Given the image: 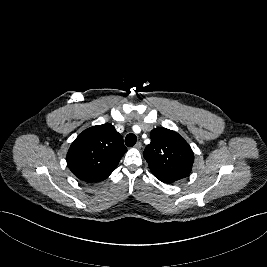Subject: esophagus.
<instances>
[{"mask_svg": "<svg viewBox=\"0 0 267 267\" xmlns=\"http://www.w3.org/2000/svg\"><path fill=\"white\" fill-rule=\"evenodd\" d=\"M134 147L136 149H141L142 148V143L141 142H137Z\"/></svg>", "mask_w": 267, "mask_h": 267, "instance_id": "34e87169", "label": "esophagus"}]
</instances>
